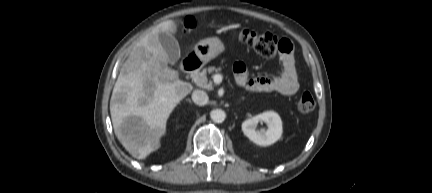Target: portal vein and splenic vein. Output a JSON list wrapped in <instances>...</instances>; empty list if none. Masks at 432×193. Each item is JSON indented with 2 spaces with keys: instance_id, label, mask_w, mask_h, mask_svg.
<instances>
[{
  "instance_id": "18ae733b",
  "label": "portal vein and splenic vein",
  "mask_w": 432,
  "mask_h": 193,
  "mask_svg": "<svg viewBox=\"0 0 432 193\" xmlns=\"http://www.w3.org/2000/svg\"><path fill=\"white\" fill-rule=\"evenodd\" d=\"M215 78L219 80V82L221 81L222 77L220 74L215 75Z\"/></svg>"
}]
</instances>
